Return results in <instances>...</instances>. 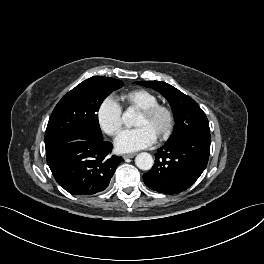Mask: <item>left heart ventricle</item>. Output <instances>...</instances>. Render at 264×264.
Instances as JSON below:
<instances>
[{"mask_svg":"<svg viewBox=\"0 0 264 264\" xmlns=\"http://www.w3.org/2000/svg\"><path fill=\"white\" fill-rule=\"evenodd\" d=\"M166 119L163 114H159L153 118H146L141 114L138 115L135 126L146 127L155 137L159 136L164 130Z\"/></svg>","mask_w":264,"mask_h":264,"instance_id":"left-heart-ventricle-1","label":"left heart ventricle"}]
</instances>
